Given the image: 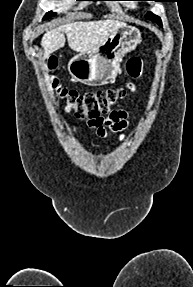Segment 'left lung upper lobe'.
I'll list each match as a JSON object with an SVG mask.
<instances>
[{
	"mask_svg": "<svg viewBox=\"0 0 193 287\" xmlns=\"http://www.w3.org/2000/svg\"><path fill=\"white\" fill-rule=\"evenodd\" d=\"M154 1L156 2L157 0H154ZM145 18H147V19H149V20H151V21H154V22H156L157 24H159L160 26H162V22H161L160 17L157 16V15H154V14L151 13V12H148V13L145 15Z\"/></svg>",
	"mask_w": 193,
	"mask_h": 287,
	"instance_id": "obj_1",
	"label": "left lung upper lobe"
}]
</instances>
